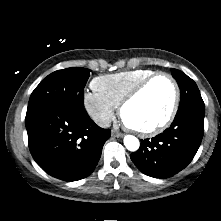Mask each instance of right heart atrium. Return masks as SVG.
I'll return each instance as SVG.
<instances>
[{
	"instance_id": "d8ad5b80",
	"label": "right heart atrium",
	"mask_w": 221,
	"mask_h": 221,
	"mask_svg": "<svg viewBox=\"0 0 221 221\" xmlns=\"http://www.w3.org/2000/svg\"><path fill=\"white\" fill-rule=\"evenodd\" d=\"M86 111L100 126H107L115 115V106L96 92H86L83 97Z\"/></svg>"
}]
</instances>
